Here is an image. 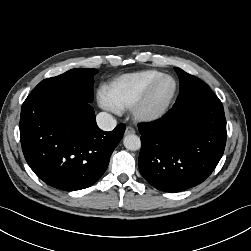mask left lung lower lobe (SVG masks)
Masks as SVG:
<instances>
[{
	"label": "left lung lower lobe",
	"instance_id": "1",
	"mask_svg": "<svg viewBox=\"0 0 251 251\" xmlns=\"http://www.w3.org/2000/svg\"><path fill=\"white\" fill-rule=\"evenodd\" d=\"M138 128L142 135L140 173L165 192H180L202 183L225 149L224 108L207 84L179 93L165 116Z\"/></svg>",
	"mask_w": 251,
	"mask_h": 251
}]
</instances>
